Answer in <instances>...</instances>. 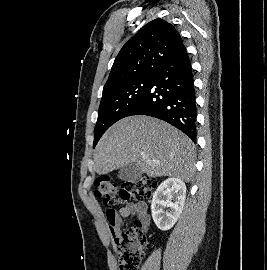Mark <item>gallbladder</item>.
Masks as SVG:
<instances>
[{
	"label": "gallbladder",
	"mask_w": 267,
	"mask_h": 270,
	"mask_svg": "<svg viewBox=\"0 0 267 270\" xmlns=\"http://www.w3.org/2000/svg\"><path fill=\"white\" fill-rule=\"evenodd\" d=\"M143 175L140 167L136 164H129L121 168L118 172L119 179L127 182H133L140 179Z\"/></svg>",
	"instance_id": "obj_1"
}]
</instances>
